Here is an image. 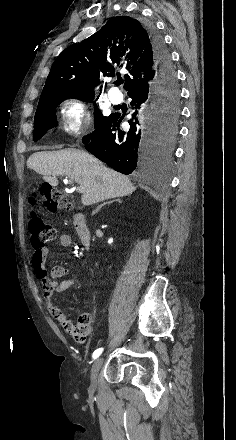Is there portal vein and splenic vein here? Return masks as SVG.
I'll return each instance as SVG.
<instances>
[{
  "label": "portal vein and splenic vein",
  "instance_id": "portal-vein-and-splenic-vein-1",
  "mask_svg": "<svg viewBox=\"0 0 236 440\" xmlns=\"http://www.w3.org/2000/svg\"><path fill=\"white\" fill-rule=\"evenodd\" d=\"M64 182H68V180L65 179ZM69 183H72V181H69ZM76 190H77L78 192H80V193L83 192L82 189H81L80 187H77Z\"/></svg>",
  "mask_w": 236,
  "mask_h": 440
}]
</instances>
